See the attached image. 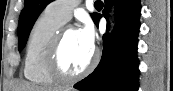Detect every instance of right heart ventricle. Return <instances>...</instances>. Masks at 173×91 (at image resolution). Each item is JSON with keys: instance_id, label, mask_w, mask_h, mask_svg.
Wrapping results in <instances>:
<instances>
[{"instance_id": "right-heart-ventricle-1", "label": "right heart ventricle", "mask_w": 173, "mask_h": 91, "mask_svg": "<svg viewBox=\"0 0 173 91\" xmlns=\"http://www.w3.org/2000/svg\"><path fill=\"white\" fill-rule=\"evenodd\" d=\"M63 25L48 9L35 21L24 57L23 72L27 80L39 85H52L55 82L45 70L44 59L52 38Z\"/></svg>"}]
</instances>
